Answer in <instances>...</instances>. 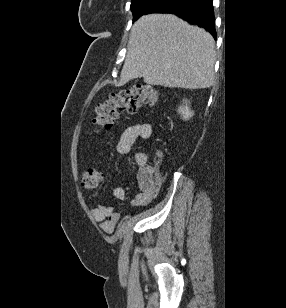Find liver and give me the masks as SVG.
Listing matches in <instances>:
<instances>
[{"label": "liver", "mask_w": 286, "mask_h": 308, "mask_svg": "<svg viewBox=\"0 0 286 308\" xmlns=\"http://www.w3.org/2000/svg\"><path fill=\"white\" fill-rule=\"evenodd\" d=\"M214 47L209 33L174 15H144L132 26L118 85L143 78L149 85L208 88L214 82Z\"/></svg>", "instance_id": "obj_1"}]
</instances>
